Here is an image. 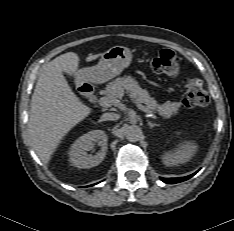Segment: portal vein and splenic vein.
Wrapping results in <instances>:
<instances>
[{
	"instance_id": "portal-vein-and-splenic-vein-1",
	"label": "portal vein and splenic vein",
	"mask_w": 234,
	"mask_h": 231,
	"mask_svg": "<svg viewBox=\"0 0 234 231\" xmlns=\"http://www.w3.org/2000/svg\"><path fill=\"white\" fill-rule=\"evenodd\" d=\"M130 100L138 107V109L144 111L145 113H147L149 116L155 118V113L149 109H147L145 106H143L142 104H140L138 101H136L135 99H133L132 97H129ZM99 104L103 107H110L113 105V100L109 99L108 97H101L98 100Z\"/></svg>"
}]
</instances>
